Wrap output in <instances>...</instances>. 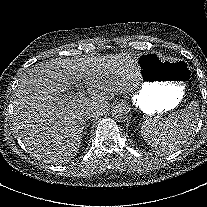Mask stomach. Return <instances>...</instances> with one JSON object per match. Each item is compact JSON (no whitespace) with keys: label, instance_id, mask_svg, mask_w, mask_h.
<instances>
[{"label":"stomach","instance_id":"obj_1","mask_svg":"<svg viewBox=\"0 0 207 207\" xmlns=\"http://www.w3.org/2000/svg\"><path fill=\"white\" fill-rule=\"evenodd\" d=\"M135 63L143 80L136 107L145 115L177 107L191 76L188 65L182 60L162 58L155 52L138 55Z\"/></svg>","mask_w":207,"mask_h":207}]
</instances>
